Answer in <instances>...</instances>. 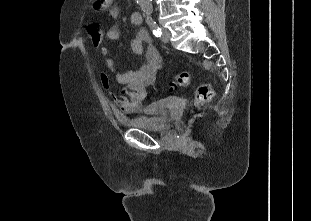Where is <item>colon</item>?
Instances as JSON below:
<instances>
[{
  "label": "colon",
  "mask_w": 311,
  "mask_h": 221,
  "mask_svg": "<svg viewBox=\"0 0 311 221\" xmlns=\"http://www.w3.org/2000/svg\"><path fill=\"white\" fill-rule=\"evenodd\" d=\"M88 37L94 48H100L103 40V28L98 23H90L88 29ZM190 84V74L188 71H184L178 74L172 83L169 85L170 90L177 89L178 87H186ZM214 97V91L212 87L206 83H202L198 86L195 93L194 105L200 107L205 103L211 101Z\"/></svg>",
  "instance_id": "obj_1"
}]
</instances>
